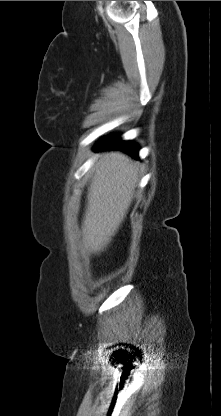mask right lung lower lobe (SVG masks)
<instances>
[{"mask_svg": "<svg viewBox=\"0 0 221 416\" xmlns=\"http://www.w3.org/2000/svg\"><path fill=\"white\" fill-rule=\"evenodd\" d=\"M110 149H120L133 157H138L137 145L132 142L121 141L119 136H112L104 139L95 147L96 151L101 150H110Z\"/></svg>", "mask_w": 221, "mask_h": 416, "instance_id": "obj_1", "label": "right lung lower lobe"}]
</instances>
